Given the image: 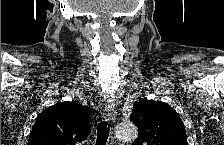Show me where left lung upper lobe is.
Returning a JSON list of instances; mask_svg holds the SVG:
<instances>
[{
	"label": "left lung upper lobe",
	"mask_w": 224,
	"mask_h": 145,
	"mask_svg": "<svg viewBox=\"0 0 224 145\" xmlns=\"http://www.w3.org/2000/svg\"><path fill=\"white\" fill-rule=\"evenodd\" d=\"M130 119L139 130L135 145H188L182 120L164 102L144 98L134 104Z\"/></svg>",
	"instance_id": "5c2ea615"
}]
</instances>
